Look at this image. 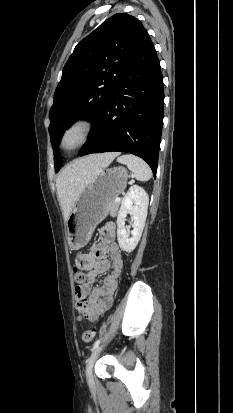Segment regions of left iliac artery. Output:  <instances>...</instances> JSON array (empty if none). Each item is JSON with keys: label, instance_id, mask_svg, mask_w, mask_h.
I'll return each instance as SVG.
<instances>
[{"label": "left iliac artery", "instance_id": "left-iliac-artery-1", "mask_svg": "<svg viewBox=\"0 0 233 413\" xmlns=\"http://www.w3.org/2000/svg\"><path fill=\"white\" fill-rule=\"evenodd\" d=\"M99 344H100V339H98V340L94 343L93 348H92L91 350L94 351V350L99 346Z\"/></svg>", "mask_w": 233, "mask_h": 413}]
</instances>
